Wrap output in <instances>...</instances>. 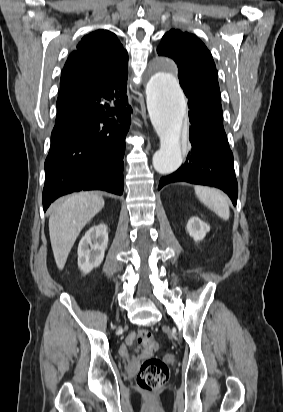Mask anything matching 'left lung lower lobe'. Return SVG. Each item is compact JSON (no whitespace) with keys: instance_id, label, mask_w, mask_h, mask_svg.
Instances as JSON below:
<instances>
[{"instance_id":"1","label":"left lung lower lobe","mask_w":283,"mask_h":412,"mask_svg":"<svg viewBox=\"0 0 283 412\" xmlns=\"http://www.w3.org/2000/svg\"><path fill=\"white\" fill-rule=\"evenodd\" d=\"M191 151L186 162L174 173L162 177L158 190L173 182H188L219 188L236 205L238 184L223 127V115L188 100Z\"/></svg>"}]
</instances>
